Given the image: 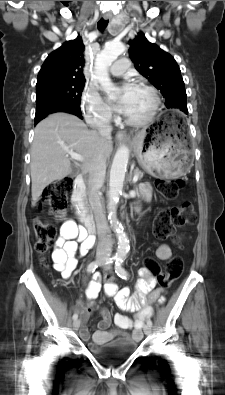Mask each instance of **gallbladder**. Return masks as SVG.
<instances>
[{"mask_svg":"<svg viewBox=\"0 0 225 395\" xmlns=\"http://www.w3.org/2000/svg\"><path fill=\"white\" fill-rule=\"evenodd\" d=\"M71 174H72V175H76V170H72V171H71Z\"/></svg>","mask_w":225,"mask_h":395,"instance_id":"gallbladder-1","label":"gallbladder"}]
</instances>
